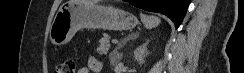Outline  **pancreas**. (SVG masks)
Wrapping results in <instances>:
<instances>
[{"instance_id":"cf45deb5","label":"pancreas","mask_w":244,"mask_h":73,"mask_svg":"<svg viewBox=\"0 0 244 73\" xmlns=\"http://www.w3.org/2000/svg\"><path fill=\"white\" fill-rule=\"evenodd\" d=\"M110 49V43L107 38H102L99 41V46L97 48V52L99 55H106Z\"/></svg>"}]
</instances>
